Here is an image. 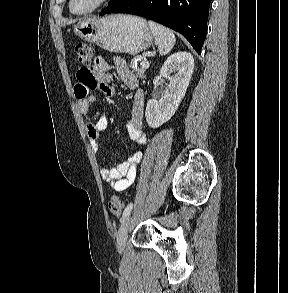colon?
I'll use <instances>...</instances> for the list:
<instances>
[{
  "label": "colon",
  "instance_id": "1",
  "mask_svg": "<svg viewBox=\"0 0 288 293\" xmlns=\"http://www.w3.org/2000/svg\"><path fill=\"white\" fill-rule=\"evenodd\" d=\"M75 51L81 66L86 69L90 68L92 63L97 59L94 49L85 43H78L75 46ZM108 207L113 215L120 216L124 208V203L119 196L113 195L109 199Z\"/></svg>",
  "mask_w": 288,
  "mask_h": 293
}]
</instances>
